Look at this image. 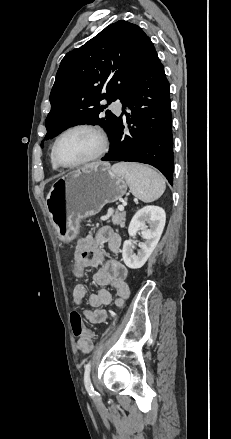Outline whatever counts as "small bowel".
Wrapping results in <instances>:
<instances>
[{
    "mask_svg": "<svg viewBox=\"0 0 231 439\" xmlns=\"http://www.w3.org/2000/svg\"><path fill=\"white\" fill-rule=\"evenodd\" d=\"M121 243L120 235L110 227L104 226L98 229L94 235L82 238L76 245L74 260L80 257L83 264L86 265V269L97 268L93 275V282L99 289L88 296V303L92 309H82L83 315L92 323H102L108 318V313L101 308L102 306H108L112 303L117 307L121 306L129 296L130 289L126 282L127 267L117 259H107L103 250L104 245H107L112 253L119 254ZM73 288V303L76 306H81L86 297L87 284L75 283ZM110 289L115 291V299H113ZM76 347L80 352L87 354L93 349V342L79 338Z\"/></svg>",
    "mask_w": 231,
    "mask_h": 439,
    "instance_id": "1",
    "label": "small bowel"
}]
</instances>
